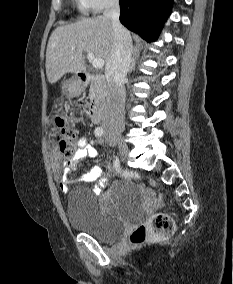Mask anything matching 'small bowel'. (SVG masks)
<instances>
[{
  "instance_id": "small-bowel-1",
  "label": "small bowel",
  "mask_w": 233,
  "mask_h": 284,
  "mask_svg": "<svg viewBox=\"0 0 233 284\" xmlns=\"http://www.w3.org/2000/svg\"><path fill=\"white\" fill-rule=\"evenodd\" d=\"M97 157V150L94 146L85 138L81 137L77 141V151L75 154L65 161L61 167H58L57 178L59 182L60 189L63 192L69 190L70 174L73 172L77 164L87 158L95 159ZM102 170L98 166L92 167L82 178L85 182H93L101 176ZM107 182V178L101 179L95 186V192H100Z\"/></svg>"
}]
</instances>
